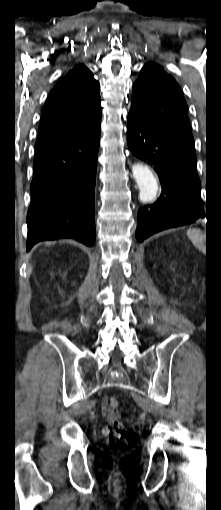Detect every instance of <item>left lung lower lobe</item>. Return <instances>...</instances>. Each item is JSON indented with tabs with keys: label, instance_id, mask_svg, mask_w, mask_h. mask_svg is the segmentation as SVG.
<instances>
[{
	"label": "left lung lower lobe",
	"instance_id": "1",
	"mask_svg": "<svg viewBox=\"0 0 221 510\" xmlns=\"http://www.w3.org/2000/svg\"><path fill=\"white\" fill-rule=\"evenodd\" d=\"M127 143L133 155L155 169L162 185L158 200L138 211L139 242L156 232L205 216L195 151L162 136L133 109L128 116Z\"/></svg>",
	"mask_w": 221,
	"mask_h": 510
}]
</instances>
